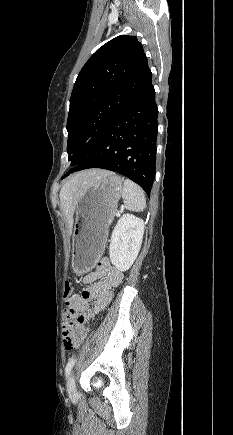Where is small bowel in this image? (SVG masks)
Returning <instances> with one entry per match:
<instances>
[{
    "label": "small bowel",
    "instance_id": "1",
    "mask_svg": "<svg viewBox=\"0 0 233 435\" xmlns=\"http://www.w3.org/2000/svg\"><path fill=\"white\" fill-rule=\"evenodd\" d=\"M122 273L108 259H101L94 271L84 278L85 287L81 294H74L65 299L67 311L64 312L63 327L78 319L75 324L76 343L81 344L88 335L86 322L101 312L112 299V289L122 282ZM73 328V325H72Z\"/></svg>",
    "mask_w": 233,
    "mask_h": 435
}]
</instances>
